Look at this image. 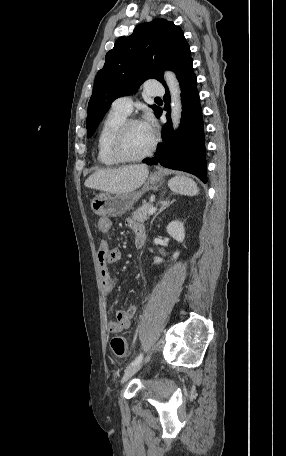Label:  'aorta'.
<instances>
[{
    "mask_svg": "<svg viewBox=\"0 0 286 456\" xmlns=\"http://www.w3.org/2000/svg\"><path fill=\"white\" fill-rule=\"evenodd\" d=\"M164 79L171 95V117L173 128L176 129L179 126L182 112L180 85L176 75L171 71H165Z\"/></svg>",
    "mask_w": 286,
    "mask_h": 456,
    "instance_id": "762f6f07",
    "label": "aorta"
}]
</instances>
